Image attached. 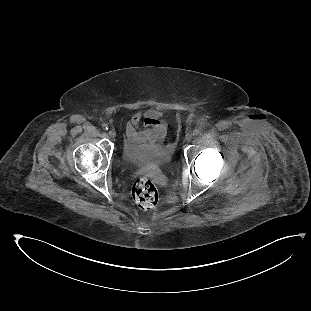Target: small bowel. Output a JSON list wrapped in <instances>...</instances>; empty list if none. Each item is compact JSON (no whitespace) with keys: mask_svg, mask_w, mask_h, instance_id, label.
<instances>
[{"mask_svg":"<svg viewBox=\"0 0 311 311\" xmlns=\"http://www.w3.org/2000/svg\"><path fill=\"white\" fill-rule=\"evenodd\" d=\"M166 131L165 121L154 110L135 112L126 126L130 146L161 142L166 136Z\"/></svg>","mask_w":311,"mask_h":311,"instance_id":"c3829d8e","label":"small bowel"}]
</instances>
